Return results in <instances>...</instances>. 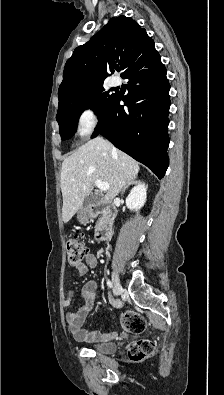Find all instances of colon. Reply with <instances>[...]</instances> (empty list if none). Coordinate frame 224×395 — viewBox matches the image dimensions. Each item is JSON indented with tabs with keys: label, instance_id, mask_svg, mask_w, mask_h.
<instances>
[{
	"label": "colon",
	"instance_id": "obj_1",
	"mask_svg": "<svg viewBox=\"0 0 224 395\" xmlns=\"http://www.w3.org/2000/svg\"><path fill=\"white\" fill-rule=\"evenodd\" d=\"M65 253L70 265L80 264L85 256L86 248L82 236L76 235L67 240L65 244ZM123 327L134 334H140L145 329L144 318L133 311H125L121 315ZM155 353V342L153 340H141L130 349V358L134 361H140L150 358Z\"/></svg>",
	"mask_w": 224,
	"mask_h": 395
}]
</instances>
